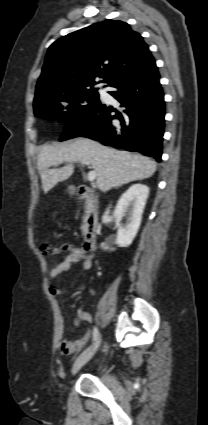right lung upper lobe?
Segmentation results:
<instances>
[{"label":"right lung upper lobe","mask_w":208,"mask_h":425,"mask_svg":"<svg viewBox=\"0 0 208 425\" xmlns=\"http://www.w3.org/2000/svg\"><path fill=\"white\" fill-rule=\"evenodd\" d=\"M149 54L143 37L123 21L109 19L72 32L49 47L34 102L89 89L97 84L95 77L109 84Z\"/></svg>","instance_id":"1"}]
</instances>
